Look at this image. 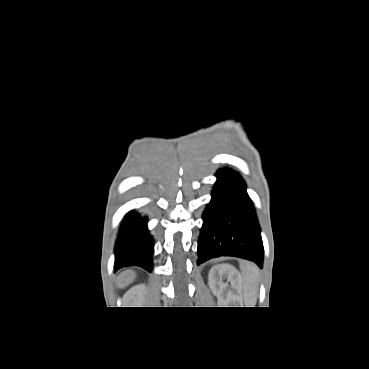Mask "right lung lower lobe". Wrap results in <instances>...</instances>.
<instances>
[{
	"instance_id": "98d812e1",
	"label": "right lung lower lobe",
	"mask_w": 369,
	"mask_h": 369,
	"mask_svg": "<svg viewBox=\"0 0 369 369\" xmlns=\"http://www.w3.org/2000/svg\"><path fill=\"white\" fill-rule=\"evenodd\" d=\"M153 240L147 230V220L130 212L123 221L115 246V270L139 266L151 271Z\"/></svg>"
}]
</instances>
